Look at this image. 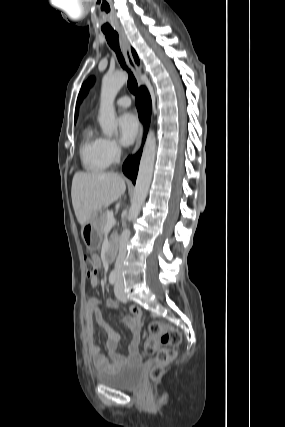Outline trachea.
Instances as JSON below:
<instances>
[{
    "instance_id": "trachea-1",
    "label": "trachea",
    "mask_w": 285,
    "mask_h": 427,
    "mask_svg": "<svg viewBox=\"0 0 285 427\" xmlns=\"http://www.w3.org/2000/svg\"><path fill=\"white\" fill-rule=\"evenodd\" d=\"M104 34H105V37H106V40H107L109 46L115 51L117 58H118V61L121 64L122 68L127 70L128 74H129L127 86L129 88L130 92L135 95L138 91V84H137V81H136L135 77L133 76L132 72L126 66L125 60H124L122 53L120 51L117 32L114 30L104 31Z\"/></svg>"
}]
</instances>
